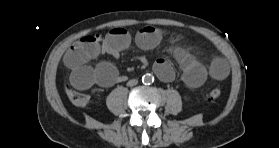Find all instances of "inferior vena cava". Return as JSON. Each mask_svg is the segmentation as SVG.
I'll use <instances>...</instances> for the list:
<instances>
[{
    "label": "inferior vena cava",
    "instance_id": "obj_1",
    "mask_svg": "<svg viewBox=\"0 0 279 148\" xmlns=\"http://www.w3.org/2000/svg\"><path fill=\"white\" fill-rule=\"evenodd\" d=\"M138 84V80L136 79H132V80H129L128 83H127V86H135Z\"/></svg>",
    "mask_w": 279,
    "mask_h": 148
}]
</instances>
